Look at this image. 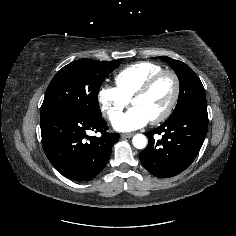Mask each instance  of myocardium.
Returning <instances> with one entry per match:
<instances>
[{
  "mask_svg": "<svg viewBox=\"0 0 236 236\" xmlns=\"http://www.w3.org/2000/svg\"><path fill=\"white\" fill-rule=\"evenodd\" d=\"M165 76H169L173 81L174 84L173 94L168 106L163 111V113L157 116L156 118L150 120V123L153 125H157L164 122L173 113L181 91V83L178 75L172 70H163L157 73L156 75L152 76L150 79H148L131 97V103H132L134 99L147 95L153 89V87Z\"/></svg>",
  "mask_w": 236,
  "mask_h": 236,
  "instance_id": "obj_1",
  "label": "myocardium"
}]
</instances>
